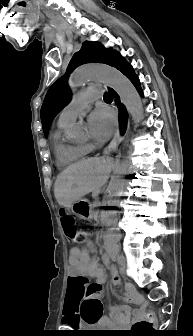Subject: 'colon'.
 Returning <instances> with one entry per match:
<instances>
[{
    "instance_id": "1",
    "label": "colon",
    "mask_w": 193,
    "mask_h": 336,
    "mask_svg": "<svg viewBox=\"0 0 193 336\" xmlns=\"http://www.w3.org/2000/svg\"><path fill=\"white\" fill-rule=\"evenodd\" d=\"M61 224L66 237L71 242L77 243L80 241L76 219L73 216L63 214L61 216ZM78 285L82 295L86 296L82 305L83 318L87 323H94L100 317L98 300L94 297L100 291V285L98 283H89L85 278L81 279ZM153 318V312L148 310L145 313V317L132 326L130 335L146 336L153 330Z\"/></svg>"
}]
</instances>
